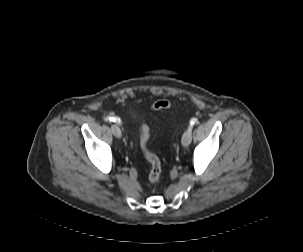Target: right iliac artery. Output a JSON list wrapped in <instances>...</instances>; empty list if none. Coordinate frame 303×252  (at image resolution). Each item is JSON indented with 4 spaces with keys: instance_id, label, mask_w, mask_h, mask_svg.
<instances>
[{
    "instance_id": "right-iliac-artery-1",
    "label": "right iliac artery",
    "mask_w": 303,
    "mask_h": 252,
    "mask_svg": "<svg viewBox=\"0 0 303 252\" xmlns=\"http://www.w3.org/2000/svg\"><path fill=\"white\" fill-rule=\"evenodd\" d=\"M113 121V122H117L118 124L121 123L120 119L118 117H112V116H108L105 118V121Z\"/></svg>"
}]
</instances>
